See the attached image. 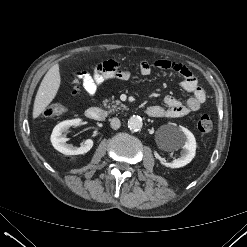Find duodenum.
<instances>
[{
    "instance_id": "1",
    "label": "duodenum",
    "mask_w": 247,
    "mask_h": 247,
    "mask_svg": "<svg viewBox=\"0 0 247 247\" xmlns=\"http://www.w3.org/2000/svg\"><path fill=\"white\" fill-rule=\"evenodd\" d=\"M150 113V108L147 109V114ZM85 115L87 118L94 121H103L106 117L105 112L98 107H90L86 109Z\"/></svg>"
}]
</instances>
